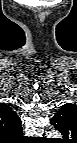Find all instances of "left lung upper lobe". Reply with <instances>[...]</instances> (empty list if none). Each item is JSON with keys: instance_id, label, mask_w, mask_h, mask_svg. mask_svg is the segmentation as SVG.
I'll return each instance as SVG.
<instances>
[{"instance_id": "1", "label": "left lung upper lobe", "mask_w": 77, "mask_h": 143, "mask_svg": "<svg viewBox=\"0 0 77 143\" xmlns=\"http://www.w3.org/2000/svg\"><path fill=\"white\" fill-rule=\"evenodd\" d=\"M71 123L66 122V123L54 125V126L57 130H59L62 133L63 137H68V134L69 136L71 135V130H70Z\"/></svg>"}]
</instances>
